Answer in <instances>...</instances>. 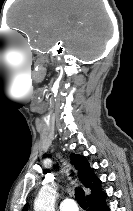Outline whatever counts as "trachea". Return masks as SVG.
<instances>
[{
    "label": "trachea",
    "mask_w": 133,
    "mask_h": 211,
    "mask_svg": "<svg viewBox=\"0 0 133 211\" xmlns=\"http://www.w3.org/2000/svg\"><path fill=\"white\" fill-rule=\"evenodd\" d=\"M72 175H73V173H72ZM75 197H76V200H77L78 204L82 208L85 209L87 207V203H86V199H85L84 190L82 188H77L75 190Z\"/></svg>",
    "instance_id": "3493384b"
}]
</instances>
